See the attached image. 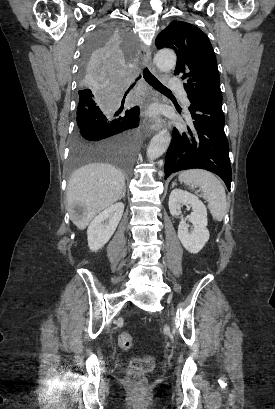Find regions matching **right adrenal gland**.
Listing matches in <instances>:
<instances>
[{"label":"right adrenal gland","instance_id":"1","mask_svg":"<svg viewBox=\"0 0 275 409\" xmlns=\"http://www.w3.org/2000/svg\"><path fill=\"white\" fill-rule=\"evenodd\" d=\"M125 192H126V186H124L123 192H122L121 196H119V200H121V198H124Z\"/></svg>","mask_w":275,"mask_h":409}]
</instances>
